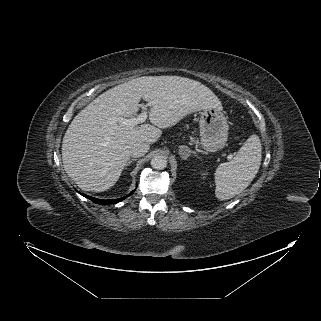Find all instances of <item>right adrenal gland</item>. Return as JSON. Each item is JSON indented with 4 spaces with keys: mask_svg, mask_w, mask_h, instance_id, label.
Returning <instances> with one entry per match:
<instances>
[{
    "mask_svg": "<svg viewBox=\"0 0 321 321\" xmlns=\"http://www.w3.org/2000/svg\"><path fill=\"white\" fill-rule=\"evenodd\" d=\"M136 159H130L128 162H127V164H126V167H125V169L133 162V161H135Z\"/></svg>",
    "mask_w": 321,
    "mask_h": 321,
    "instance_id": "right-adrenal-gland-1",
    "label": "right adrenal gland"
}]
</instances>
